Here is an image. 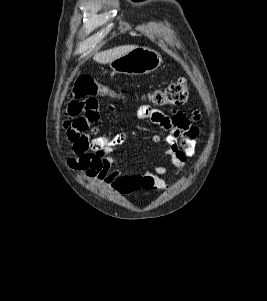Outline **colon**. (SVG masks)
Segmentation results:
<instances>
[{"label":"colon","instance_id":"5ec220e1","mask_svg":"<svg viewBox=\"0 0 267 301\" xmlns=\"http://www.w3.org/2000/svg\"><path fill=\"white\" fill-rule=\"evenodd\" d=\"M109 88L91 76L77 78L72 87L74 99L97 98L110 95ZM189 96V88L183 79L156 89L147 95L148 101L155 106H178L184 104Z\"/></svg>","mask_w":267,"mask_h":301}]
</instances>
